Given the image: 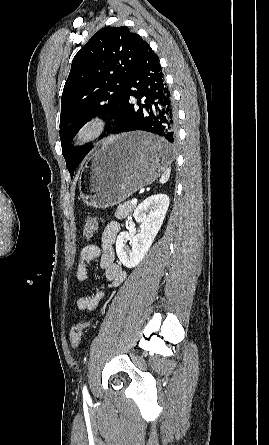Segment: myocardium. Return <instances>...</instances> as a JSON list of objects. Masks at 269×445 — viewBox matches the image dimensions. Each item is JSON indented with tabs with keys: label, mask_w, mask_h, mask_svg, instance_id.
<instances>
[{
	"label": "myocardium",
	"mask_w": 269,
	"mask_h": 445,
	"mask_svg": "<svg viewBox=\"0 0 269 445\" xmlns=\"http://www.w3.org/2000/svg\"><path fill=\"white\" fill-rule=\"evenodd\" d=\"M107 129V121L99 115L83 120L74 133V143L77 146H86L100 138Z\"/></svg>",
	"instance_id": "f54148a6"
}]
</instances>
